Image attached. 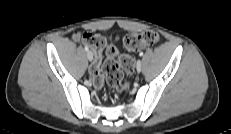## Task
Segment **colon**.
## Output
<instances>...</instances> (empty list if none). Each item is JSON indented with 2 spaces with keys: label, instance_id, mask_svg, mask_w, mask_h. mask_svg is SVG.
<instances>
[{
  "label": "colon",
  "instance_id": "colon-1",
  "mask_svg": "<svg viewBox=\"0 0 231 134\" xmlns=\"http://www.w3.org/2000/svg\"><path fill=\"white\" fill-rule=\"evenodd\" d=\"M81 39L96 52V59L89 70L94 86L101 89L105 84H108L116 90L125 89L127 84L123 83V71L132 74L134 68L133 57L130 54H119L117 49L112 47L106 52V58L102 63L103 38L98 34L86 32L81 36ZM158 41V33L148 30L126 35L124 45L129 52H137L142 48L157 44Z\"/></svg>",
  "mask_w": 231,
  "mask_h": 134
}]
</instances>
